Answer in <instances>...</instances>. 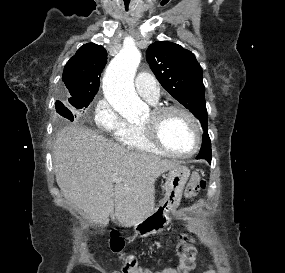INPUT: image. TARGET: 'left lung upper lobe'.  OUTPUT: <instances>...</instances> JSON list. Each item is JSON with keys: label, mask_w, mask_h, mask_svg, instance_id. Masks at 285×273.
Masks as SVG:
<instances>
[{"label": "left lung upper lobe", "mask_w": 285, "mask_h": 273, "mask_svg": "<svg viewBox=\"0 0 285 273\" xmlns=\"http://www.w3.org/2000/svg\"><path fill=\"white\" fill-rule=\"evenodd\" d=\"M146 59L164 89L207 130L203 73L195 56L178 44L156 41L147 49Z\"/></svg>", "instance_id": "left-lung-upper-lobe-1"}]
</instances>
